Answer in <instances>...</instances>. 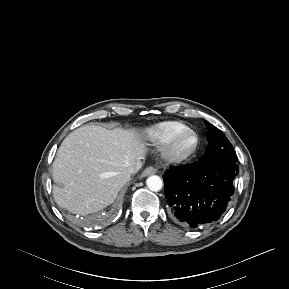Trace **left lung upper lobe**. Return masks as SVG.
Here are the masks:
<instances>
[{"mask_svg":"<svg viewBox=\"0 0 289 289\" xmlns=\"http://www.w3.org/2000/svg\"><path fill=\"white\" fill-rule=\"evenodd\" d=\"M204 122L206 127H208V145L200 161L220 165L236 163V152L225 135L212 124L207 121Z\"/></svg>","mask_w":289,"mask_h":289,"instance_id":"left-lung-upper-lobe-1","label":"left lung upper lobe"}]
</instances>
